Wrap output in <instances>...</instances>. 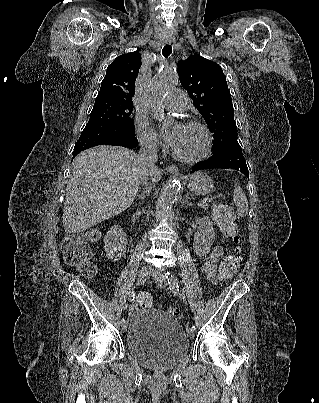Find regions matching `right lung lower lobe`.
<instances>
[{
	"label": "right lung lower lobe",
	"instance_id": "1",
	"mask_svg": "<svg viewBox=\"0 0 319 403\" xmlns=\"http://www.w3.org/2000/svg\"><path fill=\"white\" fill-rule=\"evenodd\" d=\"M102 144L135 148L138 140L134 131H129L120 125L85 127L75 144L73 157L85 149Z\"/></svg>",
	"mask_w": 319,
	"mask_h": 403
}]
</instances>
